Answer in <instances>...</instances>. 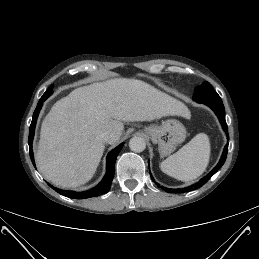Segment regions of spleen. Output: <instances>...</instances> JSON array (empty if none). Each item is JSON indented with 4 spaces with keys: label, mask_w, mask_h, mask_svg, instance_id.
Wrapping results in <instances>:
<instances>
[{
    "label": "spleen",
    "mask_w": 259,
    "mask_h": 259,
    "mask_svg": "<svg viewBox=\"0 0 259 259\" xmlns=\"http://www.w3.org/2000/svg\"><path fill=\"white\" fill-rule=\"evenodd\" d=\"M209 137L199 133L160 164L162 172L181 181H192L206 170L210 160Z\"/></svg>",
    "instance_id": "1"
}]
</instances>
